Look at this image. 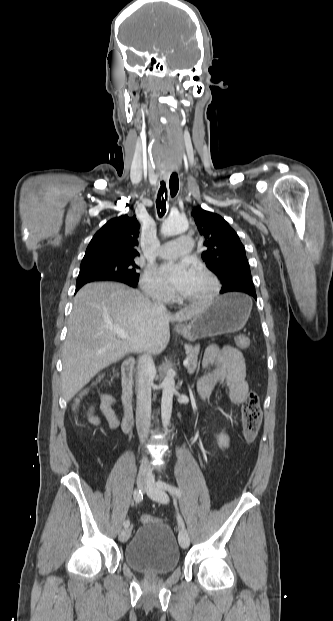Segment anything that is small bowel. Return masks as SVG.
<instances>
[{
	"mask_svg": "<svg viewBox=\"0 0 333 621\" xmlns=\"http://www.w3.org/2000/svg\"><path fill=\"white\" fill-rule=\"evenodd\" d=\"M203 366L207 371L197 382V393L200 399L209 397L215 387L224 382L229 390L230 400L239 404L244 401L247 396L249 386L246 379V364L242 354L233 347L218 348L209 347L203 357ZM114 398L106 393L100 394V409L106 419L109 427L115 429L119 426V420L112 408ZM88 421L100 427L101 419L95 415V406L91 404L87 410ZM218 444L225 449L229 445V437L226 433L221 432L217 436Z\"/></svg>",
	"mask_w": 333,
	"mask_h": 621,
	"instance_id": "obj_1",
	"label": "small bowel"
}]
</instances>
